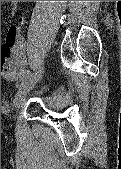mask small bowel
Wrapping results in <instances>:
<instances>
[{"label": "small bowel", "mask_w": 121, "mask_h": 169, "mask_svg": "<svg viewBox=\"0 0 121 169\" xmlns=\"http://www.w3.org/2000/svg\"><path fill=\"white\" fill-rule=\"evenodd\" d=\"M1 2L18 3L21 1ZM23 22L24 18L20 17L19 24H22ZM27 62L28 58L20 27L12 26L9 28L5 41L1 46V76L9 81L20 79L24 72H26L23 68L26 66Z\"/></svg>", "instance_id": "c3829d8e"}]
</instances>
